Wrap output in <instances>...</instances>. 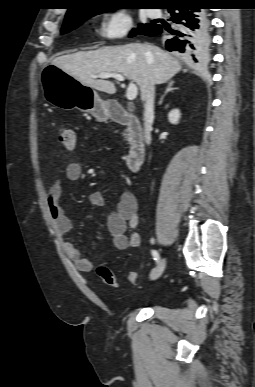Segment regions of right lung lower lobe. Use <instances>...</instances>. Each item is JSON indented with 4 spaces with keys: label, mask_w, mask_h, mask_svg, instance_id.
<instances>
[{
    "label": "right lung lower lobe",
    "mask_w": 255,
    "mask_h": 387,
    "mask_svg": "<svg viewBox=\"0 0 255 387\" xmlns=\"http://www.w3.org/2000/svg\"><path fill=\"white\" fill-rule=\"evenodd\" d=\"M202 3L196 0H180L168 6L176 25L173 28L154 24L142 34L154 36L162 34L165 46L170 51L183 53L194 61L201 60L207 53L208 19Z\"/></svg>",
    "instance_id": "98d812e1"
}]
</instances>
